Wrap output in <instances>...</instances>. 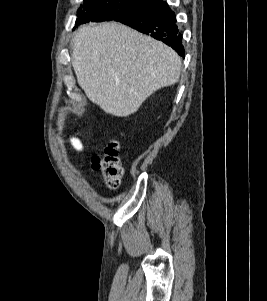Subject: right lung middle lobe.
<instances>
[{
  "instance_id": "1",
  "label": "right lung middle lobe",
  "mask_w": 267,
  "mask_h": 301,
  "mask_svg": "<svg viewBox=\"0 0 267 301\" xmlns=\"http://www.w3.org/2000/svg\"><path fill=\"white\" fill-rule=\"evenodd\" d=\"M148 6L150 3L147 0H84L83 6L78 10L76 26L89 21L114 20Z\"/></svg>"
}]
</instances>
